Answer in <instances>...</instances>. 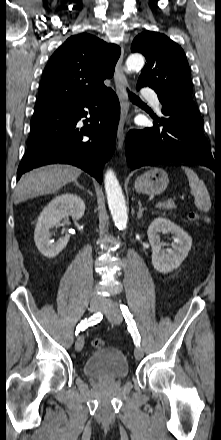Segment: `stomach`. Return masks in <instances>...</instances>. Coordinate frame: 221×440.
Wrapping results in <instances>:
<instances>
[{
	"label": "stomach",
	"instance_id": "obj_1",
	"mask_svg": "<svg viewBox=\"0 0 221 440\" xmlns=\"http://www.w3.org/2000/svg\"><path fill=\"white\" fill-rule=\"evenodd\" d=\"M168 183L167 173L163 169L153 168L135 180V189L139 193L157 195L165 191Z\"/></svg>",
	"mask_w": 221,
	"mask_h": 440
}]
</instances>
